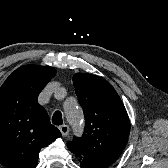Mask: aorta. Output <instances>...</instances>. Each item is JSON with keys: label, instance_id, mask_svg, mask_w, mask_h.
Returning <instances> with one entry per match:
<instances>
[{"label": "aorta", "instance_id": "obj_1", "mask_svg": "<svg viewBox=\"0 0 168 168\" xmlns=\"http://www.w3.org/2000/svg\"><path fill=\"white\" fill-rule=\"evenodd\" d=\"M65 115L69 124L77 131L83 126V114L77 104L67 105Z\"/></svg>", "mask_w": 168, "mask_h": 168}]
</instances>
